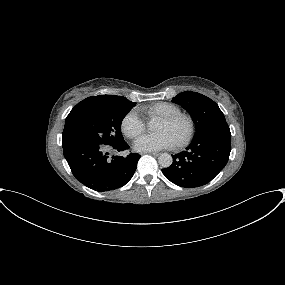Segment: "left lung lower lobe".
I'll return each mask as SVG.
<instances>
[{
  "mask_svg": "<svg viewBox=\"0 0 285 285\" xmlns=\"http://www.w3.org/2000/svg\"><path fill=\"white\" fill-rule=\"evenodd\" d=\"M187 151L173 156V163L162 169L174 184L194 188L210 182L227 164L231 151V133L208 131L195 136Z\"/></svg>",
  "mask_w": 285,
  "mask_h": 285,
  "instance_id": "0a47b994",
  "label": "left lung lower lobe"
}]
</instances>
